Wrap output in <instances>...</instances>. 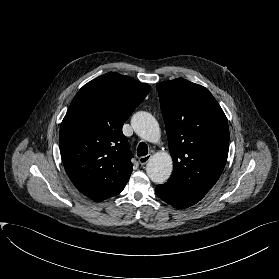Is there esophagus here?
<instances>
[{"label":"esophagus","instance_id":"esophagus-1","mask_svg":"<svg viewBox=\"0 0 279 279\" xmlns=\"http://www.w3.org/2000/svg\"><path fill=\"white\" fill-rule=\"evenodd\" d=\"M150 159H151V155L148 154V155H146V156L140 157V158L138 159V161H139V163H140L141 165H145V164H147V163L149 162Z\"/></svg>","mask_w":279,"mask_h":279}]
</instances>
